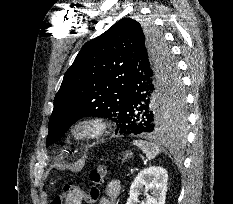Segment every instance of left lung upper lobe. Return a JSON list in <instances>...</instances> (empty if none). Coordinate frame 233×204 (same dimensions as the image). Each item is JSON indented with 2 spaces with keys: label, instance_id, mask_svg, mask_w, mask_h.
<instances>
[{
  "label": "left lung upper lobe",
  "instance_id": "1",
  "mask_svg": "<svg viewBox=\"0 0 233 204\" xmlns=\"http://www.w3.org/2000/svg\"><path fill=\"white\" fill-rule=\"evenodd\" d=\"M141 48L149 49L153 65L171 80L175 61L163 37L150 25L122 18L99 37L87 42L64 75L54 98L48 124L49 147L79 118L106 117L120 130V110L128 94L133 62ZM185 95L179 79L160 108V132L176 128L186 121Z\"/></svg>",
  "mask_w": 233,
  "mask_h": 204
}]
</instances>
